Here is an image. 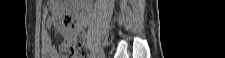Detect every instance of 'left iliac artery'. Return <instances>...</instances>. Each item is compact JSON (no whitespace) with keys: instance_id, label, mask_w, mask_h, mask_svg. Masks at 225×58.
<instances>
[{"instance_id":"left-iliac-artery-1","label":"left iliac artery","mask_w":225,"mask_h":58,"mask_svg":"<svg viewBox=\"0 0 225 58\" xmlns=\"http://www.w3.org/2000/svg\"><path fill=\"white\" fill-rule=\"evenodd\" d=\"M91 56H94V53H92ZM91 58H92V57H91Z\"/></svg>"}]
</instances>
